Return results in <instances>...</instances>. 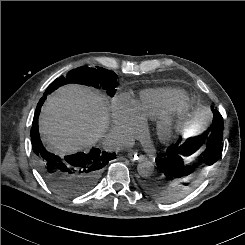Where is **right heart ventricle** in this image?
Masks as SVG:
<instances>
[{
  "mask_svg": "<svg viewBox=\"0 0 245 245\" xmlns=\"http://www.w3.org/2000/svg\"><path fill=\"white\" fill-rule=\"evenodd\" d=\"M187 94L176 88H153L142 90L136 107L143 121L156 120L184 108L188 103Z\"/></svg>",
  "mask_w": 245,
  "mask_h": 245,
  "instance_id": "obj_1",
  "label": "right heart ventricle"
}]
</instances>
